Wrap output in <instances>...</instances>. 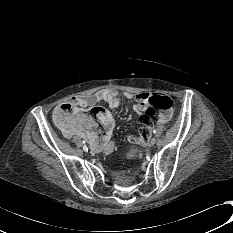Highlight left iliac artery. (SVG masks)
Masks as SVG:
<instances>
[{
  "mask_svg": "<svg viewBox=\"0 0 233 233\" xmlns=\"http://www.w3.org/2000/svg\"><path fill=\"white\" fill-rule=\"evenodd\" d=\"M153 133H154V134H156V133H157V130H156V129H155V130H153Z\"/></svg>",
  "mask_w": 233,
  "mask_h": 233,
  "instance_id": "left-iliac-artery-1",
  "label": "left iliac artery"
}]
</instances>
